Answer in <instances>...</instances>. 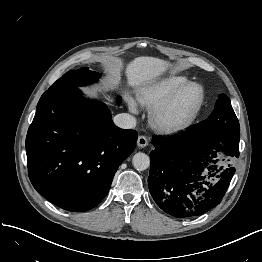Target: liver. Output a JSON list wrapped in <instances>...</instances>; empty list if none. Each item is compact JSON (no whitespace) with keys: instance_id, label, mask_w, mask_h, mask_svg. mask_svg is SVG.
<instances>
[{"instance_id":"6515ba94","label":"liver","mask_w":262,"mask_h":262,"mask_svg":"<svg viewBox=\"0 0 262 262\" xmlns=\"http://www.w3.org/2000/svg\"><path fill=\"white\" fill-rule=\"evenodd\" d=\"M169 63L159 58L141 56L132 60L126 67L128 84L137 87L151 82L163 74ZM94 94V91H88Z\"/></svg>"}]
</instances>
